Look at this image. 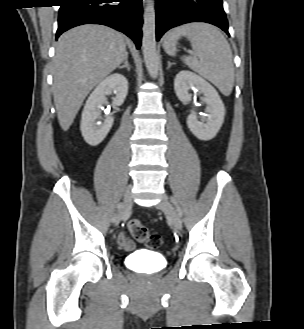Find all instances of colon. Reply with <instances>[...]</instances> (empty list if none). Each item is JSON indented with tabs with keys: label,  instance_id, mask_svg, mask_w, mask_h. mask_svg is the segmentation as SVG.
I'll return each mask as SVG.
<instances>
[{
	"label": "colon",
	"instance_id": "obj_1",
	"mask_svg": "<svg viewBox=\"0 0 304 329\" xmlns=\"http://www.w3.org/2000/svg\"><path fill=\"white\" fill-rule=\"evenodd\" d=\"M132 237L139 243L145 244L150 249H156L161 245L158 234L151 233L149 229L138 220H130L127 224Z\"/></svg>",
	"mask_w": 304,
	"mask_h": 329
}]
</instances>
